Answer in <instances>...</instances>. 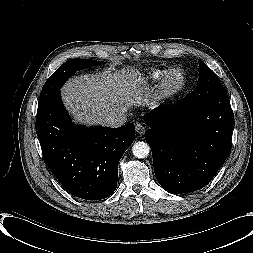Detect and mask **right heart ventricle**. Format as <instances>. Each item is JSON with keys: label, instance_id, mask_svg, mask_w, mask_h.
<instances>
[{"label": "right heart ventricle", "instance_id": "e07e8e85", "mask_svg": "<svg viewBox=\"0 0 253 253\" xmlns=\"http://www.w3.org/2000/svg\"><path fill=\"white\" fill-rule=\"evenodd\" d=\"M162 75H163V71L157 70V69L153 70L149 75V81L156 82L161 78Z\"/></svg>", "mask_w": 253, "mask_h": 253}]
</instances>
